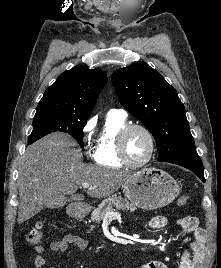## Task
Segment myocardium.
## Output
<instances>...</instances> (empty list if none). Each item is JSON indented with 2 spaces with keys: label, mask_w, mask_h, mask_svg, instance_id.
I'll return each instance as SVG.
<instances>
[{
  "label": "myocardium",
  "mask_w": 221,
  "mask_h": 268,
  "mask_svg": "<svg viewBox=\"0 0 221 268\" xmlns=\"http://www.w3.org/2000/svg\"><path fill=\"white\" fill-rule=\"evenodd\" d=\"M141 130L143 131L150 142V150L147 155V157L140 163H133L128 159L127 152H126V138L127 135L129 134L130 131L132 130ZM156 150V141L153 133L151 132L150 129H148L146 126L141 125V124H126L123 128L120 129L117 135V153L120 161L123 163L124 166L133 168V169H138L141 167H144L147 165L153 158L154 153Z\"/></svg>",
  "instance_id": "myocardium-1"
}]
</instances>
